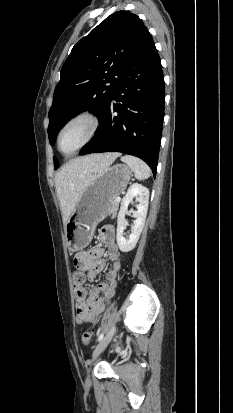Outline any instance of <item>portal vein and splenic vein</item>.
Returning <instances> with one entry per match:
<instances>
[{"instance_id": "obj_1", "label": "portal vein and splenic vein", "mask_w": 233, "mask_h": 413, "mask_svg": "<svg viewBox=\"0 0 233 413\" xmlns=\"http://www.w3.org/2000/svg\"><path fill=\"white\" fill-rule=\"evenodd\" d=\"M120 200H121L120 197H116V198H115V201H116V202H120Z\"/></svg>"}]
</instances>
